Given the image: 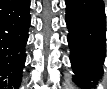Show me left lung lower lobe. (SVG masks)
Here are the masks:
<instances>
[{"label": "left lung lower lobe", "instance_id": "obj_1", "mask_svg": "<svg viewBox=\"0 0 107 89\" xmlns=\"http://www.w3.org/2000/svg\"><path fill=\"white\" fill-rule=\"evenodd\" d=\"M107 11L102 0H66L68 45L74 80L95 87L105 61Z\"/></svg>", "mask_w": 107, "mask_h": 89}]
</instances>
